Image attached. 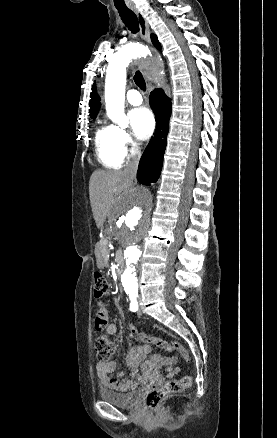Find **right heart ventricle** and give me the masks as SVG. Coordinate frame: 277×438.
Wrapping results in <instances>:
<instances>
[{
  "mask_svg": "<svg viewBox=\"0 0 277 438\" xmlns=\"http://www.w3.org/2000/svg\"><path fill=\"white\" fill-rule=\"evenodd\" d=\"M117 130L115 125H104L98 129L95 137L98 161L109 169H120L124 162L117 145Z\"/></svg>",
  "mask_w": 277,
  "mask_h": 438,
  "instance_id": "obj_1",
  "label": "right heart ventricle"
}]
</instances>
